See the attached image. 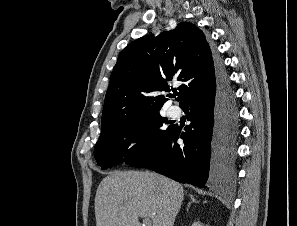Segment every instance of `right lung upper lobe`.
<instances>
[{"mask_svg":"<svg viewBox=\"0 0 297 226\" xmlns=\"http://www.w3.org/2000/svg\"><path fill=\"white\" fill-rule=\"evenodd\" d=\"M216 59L203 32L183 22L172 31L148 35L130 43L111 74L102 113V126L160 110L168 100L169 81L184 82L178 90L182 105L215 82Z\"/></svg>","mask_w":297,"mask_h":226,"instance_id":"1","label":"right lung upper lobe"}]
</instances>
